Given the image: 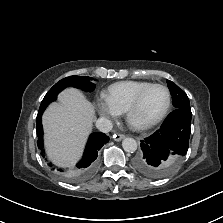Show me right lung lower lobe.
I'll return each mask as SVG.
<instances>
[{
  "label": "right lung lower lobe",
  "instance_id": "1",
  "mask_svg": "<svg viewBox=\"0 0 223 223\" xmlns=\"http://www.w3.org/2000/svg\"><path fill=\"white\" fill-rule=\"evenodd\" d=\"M51 102H46L40 105L38 115L36 118L37 136H38L37 145H38V148L42 150V153L44 151H43V128H42L41 118H42V114L45 108ZM108 141H109V137L106 136L104 133L98 132V133L91 134L89 137L83 158L77 164L76 168L71 172H63L62 170H60V176L64 180L69 181V182H78V181L86 179L93 172L95 161L98 156V151Z\"/></svg>",
  "mask_w": 223,
  "mask_h": 223
}]
</instances>
